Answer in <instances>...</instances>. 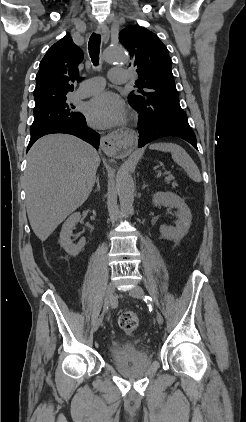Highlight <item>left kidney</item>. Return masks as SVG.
Masks as SVG:
<instances>
[{"mask_svg": "<svg viewBox=\"0 0 246 422\" xmlns=\"http://www.w3.org/2000/svg\"><path fill=\"white\" fill-rule=\"evenodd\" d=\"M154 206H168L177 209V220L175 227L160 226V233L163 238L168 240H180L188 232L192 214L186 203L175 193L172 192H156L152 199Z\"/></svg>", "mask_w": 246, "mask_h": 422, "instance_id": "left-kidney-1", "label": "left kidney"}]
</instances>
